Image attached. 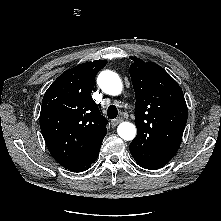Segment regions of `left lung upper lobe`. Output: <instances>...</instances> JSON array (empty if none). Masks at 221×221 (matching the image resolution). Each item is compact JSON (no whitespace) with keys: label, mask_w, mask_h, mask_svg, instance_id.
Returning a JSON list of instances; mask_svg holds the SVG:
<instances>
[{"label":"left lung upper lobe","mask_w":221,"mask_h":221,"mask_svg":"<svg viewBox=\"0 0 221 221\" xmlns=\"http://www.w3.org/2000/svg\"><path fill=\"white\" fill-rule=\"evenodd\" d=\"M130 59L137 135L129 149L137 163L163 167L176 154L187 122L183 91L159 65Z\"/></svg>","instance_id":"obj_1"}]
</instances>
